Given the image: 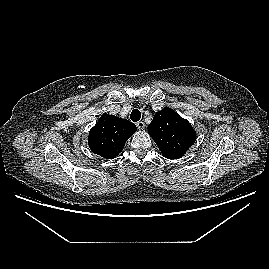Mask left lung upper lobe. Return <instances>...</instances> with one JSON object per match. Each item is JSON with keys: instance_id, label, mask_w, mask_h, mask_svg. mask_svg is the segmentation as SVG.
<instances>
[{"instance_id": "1", "label": "left lung upper lobe", "mask_w": 269, "mask_h": 269, "mask_svg": "<svg viewBox=\"0 0 269 269\" xmlns=\"http://www.w3.org/2000/svg\"><path fill=\"white\" fill-rule=\"evenodd\" d=\"M148 133L165 158H181L196 140L190 123L171 108L157 112L148 125Z\"/></svg>"}]
</instances>
